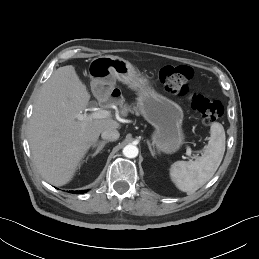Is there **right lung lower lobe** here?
<instances>
[{
    "label": "right lung lower lobe",
    "instance_id": "right-lung-lower-lobe-1",
    "mask_svg": "<svg viewBox=\"0 0 259 259\" xmlns=\"http://www.w3.org/2000/svg\"><path fill=\"white\" fill-rule=\"evenodd\" d=\"M84 192H87V190H82V191H71V193H76V194L84 193Z\"/></svg>",
    "mask_w": 259,
    "mask_h": 259
}]
</instances>
